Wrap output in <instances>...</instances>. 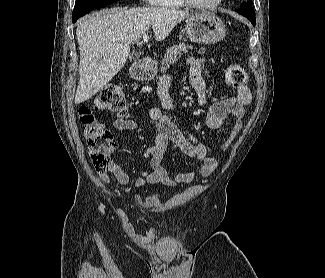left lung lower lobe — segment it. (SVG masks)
I'll return each instance as SVG.
<instances>
[{
	"mask_svg": "<svg viewBox=\"0 0 325 278\" xmlns=\"http://www.w3.org/2000/svg\"><path fill=\"white\" fill-rule=\"evenodd\" d=\"M251 4H252L251 2L243 3L241 5V8L237 9L236 11L239 14H242L243 16L247 17V19H249L251 23L255 26L256 19Z\"/></svg>",
	"mask_w": 325,
	"mask_h": 278,
	"instance_id": "1",
	"label": "left lung lower lobe"
}]
</instances>
